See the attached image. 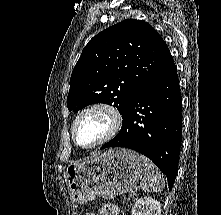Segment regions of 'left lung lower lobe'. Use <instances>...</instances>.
I'll return each mask as SVG.
<instances>
[{"mask_svg":"<svg viewBox=\"0 0 221 215\" xmlns=\"http://www.w3.org/2000/svg\"><path fill=\"white\" fill-rule=\"evenodd\" d=\"M118 135L101 149L125 147L151 159L172 188L181 142V96L170 54L162 69L136 94L122 116Z\"/></svg>","mask_w":221,"mask_h":215,"instance_id":"obj_1","label":"left lung lower lobe"}]
</instances>
